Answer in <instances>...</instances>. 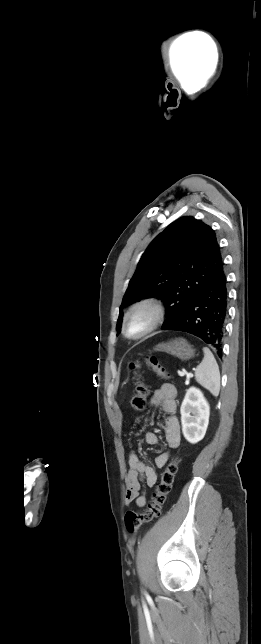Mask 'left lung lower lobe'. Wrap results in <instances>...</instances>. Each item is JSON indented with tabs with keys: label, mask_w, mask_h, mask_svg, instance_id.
Here are the masks:
<instances>
[{
	"label": "left lung lower lobe",
	"mask_w": 261,
	"mask_h": 644,
	"mask_svg": "<svg viewBox=\"0 0 261 644\" xmlns=\"http://www.w3.org/2000/svg\"><path fill=\"white\" fill-rule=\"evenodd\" d=\"M227 305V279L222 260L184 312L163 330L193 334L214 347L218 355H222Z\"/></svg>",
	"instance_id": "1"
}]
</instances>
